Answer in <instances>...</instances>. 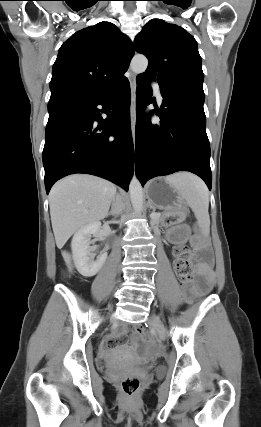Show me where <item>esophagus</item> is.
Wrapping results in <instances>:
<instances>
[{
    "label": "esophagus",
    "mask_w": 261,
    "mask_h": 427,
    "mask_svg": "<svg viewBox=\"0 0 261 427\" xmlns=\"http://www.w3.org/2000/svg\"><path fill=\"white\" fill-rule=\"evenodd\" d=\"M130 89H131V105H130V123L133 142H135V127H136V75L130 73Z\"/></svg>",
    "instance_id": "esophagus-1"
}]
</instances>
